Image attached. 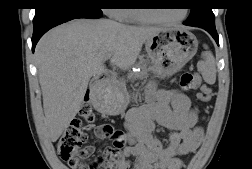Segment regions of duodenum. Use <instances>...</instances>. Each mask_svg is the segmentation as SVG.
<instances>
[{
	"label": "duodenum",
	"mask_w": 252,
	"mask_h": 169,
	"mask_svg": "<svg viewBox=\"0 0 252 169\" xmlns=\"http://www.w3.org/2000/svg\"><path fill=\"white\" fill-rule=\"evenodd\" d=\"M109 77H110L109 74H103V75L99 76L98 79L104 80V79H107V78H109Z\"/></svg>",
	"instance_id": "1"
}]
</instances>
